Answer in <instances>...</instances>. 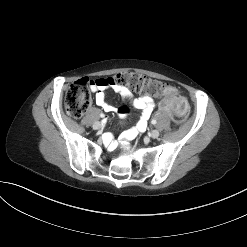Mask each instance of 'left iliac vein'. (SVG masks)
<instances>
[{
  "mask_svg": "<svg viewBox=\"0 0 247 247\" xmlns=\"http://www.w3.org/2000/svg\"><path fill=\"white\" fill-rule=\"evenodd\" d=\"M159 131L158 130H152L151 132H150V136L152 137V138H158L159 137Z\"/></svg>",
  "mask_w": 247,
  "mask_h": 247,
  "instance_id": "4c4485c4",
  "label": "left iliac vein"
}]
</instances>
